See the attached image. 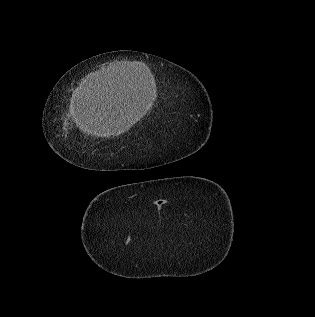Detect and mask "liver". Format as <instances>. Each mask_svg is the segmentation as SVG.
<instances>
[{
    "label": "liver",
    "instance_id": "obj_1",
    "mask_svg": "<svg viewBox=\"0 0 315 317\" xmlns=\"http://www.w3.org/2000/svg\"><path fill=\"white\" fill-rule=\"evenodd\" d=\"M136 65L126 62L120 69L125 71ZM109 80H106L107 83L103 81L97 86L88 85L80 89L74 121L83 133L96 137L118 136L128 131L138 120L130 104L121 99L117 89L119 82Z\"/></svg>",
    "mask_w": 315,
    "mask_h": 317
}]
</instances>
